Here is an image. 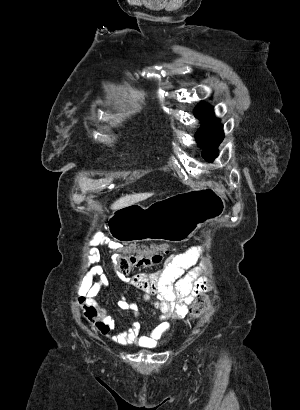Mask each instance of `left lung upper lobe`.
<instances>
[{"label": "left lung upper lobe", "instance_id": "5c2ea615", "mask_svg": "<svg viewBox=\"0 0 300 410\" xmlns=\"http://www.w3.org/2000/svg\"><path fill=\"white\" fill-rule=\"evenodd\" d=\"M194 115L204 121L195 137L198 146L204 149L203 158L211 162L217 157V147L224 137L223 126L219 123V119H215L213 107L207 103H199L194 110Z\"/></svg>", "mask_w": 300, "mask_h": 410}]
</instances>
